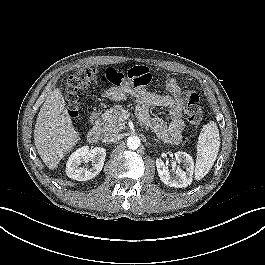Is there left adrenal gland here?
I'll list each match as a JSON object with an SVG mask.
<instances>
[{
  "instance_id": "1",
  "label": "left adrenal gland",
  "mask_w": 265,
  "mask_h": 265,
  "mask_svg": "<svg viewBox=\"0 0 265 265\" xmlns=\"http://www.w3.org/2000/svg\"><path fill=\"white\" fill-rule=\"evenodd\" d=\"M153 140H154L155 142H158V143H160V142H159V140H157V139H154V138H153Z\"/></svg>"
}]
</instances>
